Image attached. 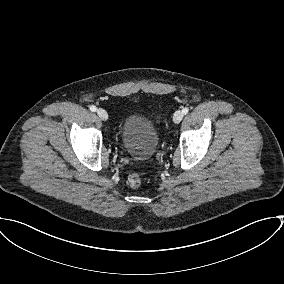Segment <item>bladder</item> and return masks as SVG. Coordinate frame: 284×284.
<instances>
[{"label": "bladder", "instance_id": "1", "mask_svg": "<svg viewBox=\"0 0 284 284\" xmlns=\"http://www.w3.org/2000/svg\"><path fill=\"white\" fill-rule=\"evenodd\" d=\"M121 144L133 158L148 160L157 151L159 132L145 115L130 113L123 120L120 131Z\"/></svg>", "mask_w": 284, "mask_h": 284}]
</instances>
